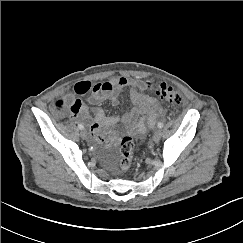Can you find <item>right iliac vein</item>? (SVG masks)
I'll return each instance as SVG.
<instances>
[{
  "label": "right iliac vein",
  "mask_w": 243,
  "mask_h": 243,
  "mask_svg": "<svg viewBox=\"0 0 243 243\" xmlns=\"http://www.w3.org/2000/svg\"><path fill=\"white\" fill-rule=\"evenodd\" d=\"M80 135H81V137H82L83 139H87V138H88L87 132H86L85 130H82V131L80 132Z\"/></svg>",
  "instance_id": "obj_1"
}]
</instances>
